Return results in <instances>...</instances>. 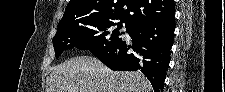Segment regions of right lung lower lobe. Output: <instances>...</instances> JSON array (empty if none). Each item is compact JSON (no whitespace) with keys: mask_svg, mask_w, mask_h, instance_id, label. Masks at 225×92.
<instances>
[{"mask_svg":"<svg viewBox=\"0 0 225 92\" xmlns=\"http://www.w3.org/2000/svg\"><path fill=\"white\" fill-rule=\"evenodd\" d=\"M174 30L175 16L163 21L142 22L129 31L132 45L121 41L92 53L112 70H140L151 82L154 92H163Z\"/></svg>","mask_w":225,"mask_h":92,"instance_id":"98d812e1","label":"right lung lower lobe"}]
</instances>
